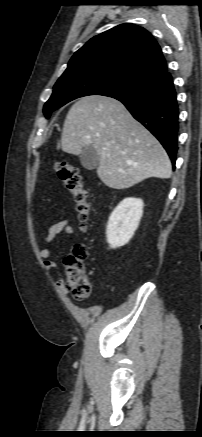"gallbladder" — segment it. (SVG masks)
Wrapping results in <instances>:
<instances>
[{"label": "gallbladder", "mask_w": 202, "mask_h": 437, "mask_svg": "<svg viewBox=\"0 0 202 437\" xmlns=\"http://www.w3.org/2000/svg\"><path fill=\"white\" fill-rule=\"evenodd\" d=\"M79 157L82 166L88 170H93L99 165L97 150L92 145L84 147Z\"/></svg>", "instance_id": "bac80fb5"}]
</instances>
